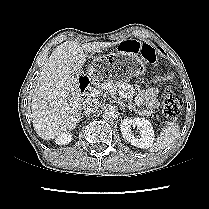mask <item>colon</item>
<instances>
[{
	"label": "colon",
	"instance_id": "colon-1",
	"mask_svg": "<svg viewBox=\"0 0 209 209\" xmlns=\"http://www.w3.org/2000/svg\"><path fill=\"white\" fill-rule=\"evenodd\" d=\"M121 50L139 54L148 63H157L156 50L148 43H141L135 40L126 41L121 45ZM181 108L182 103L179 96L172 91H168L163 101V116L166 121H175L180 114Z\"/></svg>",
	"mask_w": 209,
	"mask_h": 209
}]
</instances>
